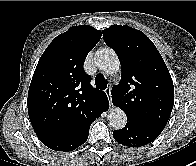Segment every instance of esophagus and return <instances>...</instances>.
<instances>
[{
  "label": "esophagus",
  "mask_w": 196,
  "mask_h": 166,
  "mask_svg": "<svg viewBox=\"0 0 196 166\" xmlns=\"http://www.w3.org/2000/svg\"><path fill=\"white\" fill-rule=\"evenodd\" d=\"M105 93L108 96L109 102H110V106L112 105V99H111V87H108L105 89Z\"/></svg>",
  "instance_id": "esophagus-1"
}]
</instances>
